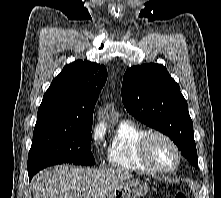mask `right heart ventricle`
Listing matches in <instances>:
<instances>
[{"instance_id":"obj_1","label":"right heart ventricle","mask_w":221,"mask_h":198,"mask_svg":"<svg viewBox=\"0 0 221 198\" xmlns=\"http://www.w3.org/2000/svg\"><path fill=\"white\" fill-rule=\"evenodd\" d=\"M147 130L131 121H121L108 148L112 167L138 173H155L145 166L139 156V142Z\"/></svg>"}]
</instances>
